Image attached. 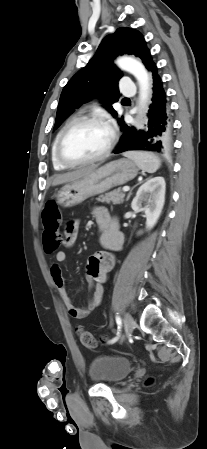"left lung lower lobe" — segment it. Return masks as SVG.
<instances>
[{
    "label": "left lung lower lobe",
    "instance_id": "left-lung-lower-lobe-1",
    "mask_svg": "<svg viewBox=\"0 0 207 449\" xmlns=\"http://www.w3.org/2000/svg\"><path fill=\"white\" fill-rule=\"evenodd\" d=\"M148 70L153 85L152 103L148 110V122L144 128L139 130L123 124L121 126L123 135L114 152L116 154L128 150L167 153L171 148L172 121L167 95L154 62L150 64Z\"/></svg>",
    "mask_w": 207,
    "mask_h": 449
}]
</instances>
